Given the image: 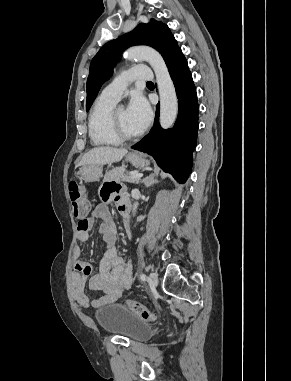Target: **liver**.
I'll list each match as a JSON object with an SVG mask.
<instances>
[{
    "mask_svg": "<svg viewBox=\"0 0 291 381\" xmlns=\"http://www.w3.org/2000/svg\"><path fill=\"white\" fill-rule=\"evenodd\" d=\"M127 149L114 147H96L88 151L76 165H105L120 161L126 155Z\"/></svg>",
    "mask_w": 291,
    "mask_h": 381,
    "instance_id": "obj_1",
    "label": "liver"
}]
</instances>
